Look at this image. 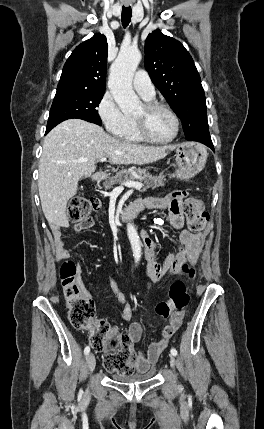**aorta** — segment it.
Here are the masks:
<instances>
[{"label": "aorta", "instance_id": "aorta-1", "mask_svg": "<svg viewBox=\"0 0 264 429\" xmlns=\"http://www.w3.org/2000/svg\"><path fill=\"white\" fill-rule=\"evenodd\" d=\"M141 53L137 48H122L111 65L108 86L115 102L124 114L136 111L141 104L132 88L134 72L140 63ZM127 235L133 251L135 262L141 258V242L135 226L127 224Z\"/></svg>", "mask_w": 264, "mask_h": 429}]
</instances>
